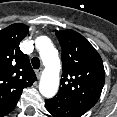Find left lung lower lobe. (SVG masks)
I'll list each match as a JSON object with an SVG mask.
<instances>
[{
	"label": "left lung lower lobe",
	"instance_id": "0a47b994",
	"mask_svg": "<svg viewBox=\"0 0 117 117\" xmlns=\"http://www.w3.org/2000/svg\"><path fill=\"white\" fill-rule=\"evenodd\" d=\"M45 106L54 117H81L85 113L58 97L46 99Z\"/></svg>",
	"mask_w": 117,
	"mask_h": 117
}]
</instances>
